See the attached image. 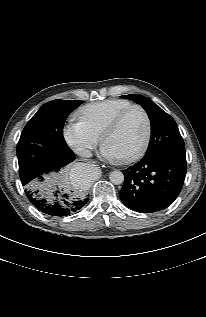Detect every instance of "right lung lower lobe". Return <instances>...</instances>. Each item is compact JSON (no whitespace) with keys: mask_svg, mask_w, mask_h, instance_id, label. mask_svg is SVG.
I'll return each mask as SVG.
<instances>
[{"mask_svg":"<svg viewBox=\"0 0 206 317\" xmlns=\"http://www.w3.org/2000/svg\"><path fill=\"white\" fill-rule=\"evenodd\" d=\"M60 169L75 159L74 153L69 149L59 150L57 153ZM43 181L39 176L35 179ZM26 196L29 201L40 211L51 216H67L80 210L87 202L88 198L79 192L67 191L65 188L55 192L54 199L46 198L38 190L32 187H25Z\"/></svg>","mask_w":206,"mask_h":317,"instance_id":"right-lung-lower-lobe-1","label":"right lung lower lobe"}]
</instances>
